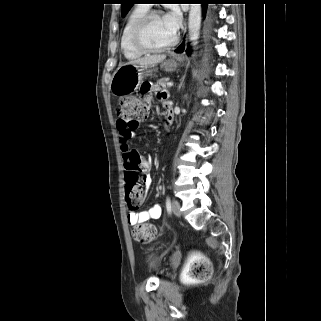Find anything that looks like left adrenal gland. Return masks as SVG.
Wrapping results in <instances>:
<instances>
[{"label":"left adrenal gland","instance_id":"1","mask_svg":"<svg viewBox=\"0 0 321 321\" xmlns=\"http://www.w3.org/2000/svg\"><path fill=\"white\" fill-rule=\"evenodd\" d=\"M181 86H183V81L181 82V84H180V87H179V88H181Z\"/></svg>","mask_w":321,"mask_h":321}]
</instances>
